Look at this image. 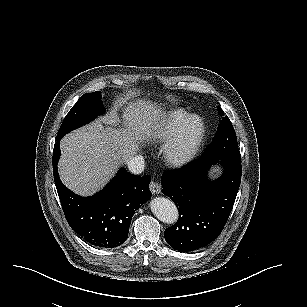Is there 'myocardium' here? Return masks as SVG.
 Wrapping results in <instances>:
<instances>
[{
  "label": "myocardium",
  "mask_w": 307,
  "mask_h": 307,
  "mask_svg": "<svg viewBox=\"0 0 307 307\" xmlns=\"http://www.w3.org/2000/svg\"><path fill=\"white\" fill-rule=\"evenodd\" d=\"M176 129H172L155 151L165 160V171L192 161L202 145L204 123L194 115L176 117Z\"/></svg>",
  "instance_id": "myocardium-1"
}]
</instances>
